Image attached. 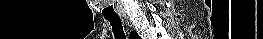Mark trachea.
<instances>
[{"instance_id":"3493384b","label":"trachea","mask_w":263,"mask_h":39,"mask_svg":"<svg viewBox=\"0 0 263 39\" xmlns=\"http://www.w3.org/2000/svg\"><path fill=\"white\" fill-rule=\"evenodd\" d=\"M106 20L110 22V25L112 26L115 39H126L120 18H106Z\"/></svg>"}]
</instances>
